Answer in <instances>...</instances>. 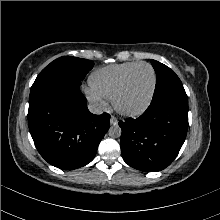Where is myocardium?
<instances>
[{
	"label": "myocardium",
	"instance_id": "1",
	"mask_svg": "<svg viewBox=\"0 0 220 220\" xmlns=\"http://www.w3.org/2000/svg\"><path fill=\"white\" fill-rule=\"evenodd\" d=\"M140 66H147L152 72V87H151L149 96H148L147 100L144 102V104L142 106H140L139 108H136V109H133V110H125V109L120 107L119 100H120L122 94L124 93V91H125V89L128 85V82H129V79H130L131 75ZM156 85H157V75H156V71H155L154 67L151 64L147 63V62L137 63L133 68H131L127 72V74L124 76L123 80L121 81L119 87L117 88L116 92L114 93V96L112 98V104H113V107H114L115 111L117 113H119L120 115L125 116V117L140 116L150 106V104L153 100L154 94H155Z\"/></svg>",
	"mask_w": 220,
	"mask_h": 220
}]
</instances>
